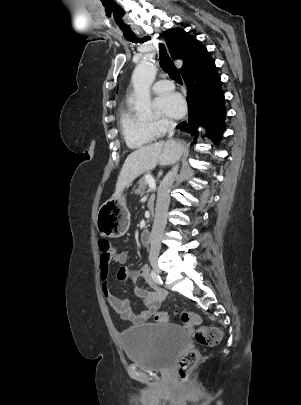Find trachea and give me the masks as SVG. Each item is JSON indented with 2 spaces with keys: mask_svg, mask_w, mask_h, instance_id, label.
Here are the masks:
<instances>
[{
  "mask_svg": "<svg viewBox=\"0 0 301 405\" xmlns=\"http://www.w3.org/2000/svg\"><path fill=\"white\" fill-rule=\"evenodd\" d=\"M127 41H130L132 43H144L146 41L151 40L150 36H145L143 38H139L137 36L133 37H126ZM159 47V55H160V64L162 69L176 82L182 84V79L181 76L178 72V70L175 68L171 58L169 57L166 47L163 43L159 42L158 43Z\"/></svg>",
  "mask_w": 301,
  "mask_h": 405,
  "instance_id": "obj_1",
  "label": "trachea"
}]
</instances>
